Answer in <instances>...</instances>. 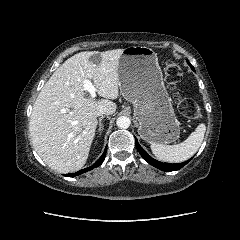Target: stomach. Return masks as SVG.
<instances>
[{
  "label": "stomach",
  "instance_id": "1",
  "mask_svg": "<svg viewBox=\"0 0 240 240\" xmlns=\"http://www.w3.org/2000/svg\"><path fill=\"white\" fill-rule=\"evenodd\" d=\"M118 76L122 96L133 104L140 137L150 144L175 142L180 135V123L154 50L145 46L125 48L119 60Z\"/></svg>",
  "mask_w": 240,
  "mask_h": 240
}]
</instances>
